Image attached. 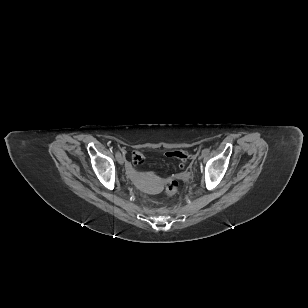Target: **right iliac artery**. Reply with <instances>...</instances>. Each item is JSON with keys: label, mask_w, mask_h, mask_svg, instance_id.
Wrapping results in <instances>:
<instances>
[{"label": "right iliac artery", "mask_w": 308, "mask_h": 308, "mask_svg": "<svg viewBox=\"0 0 308 308\" xmlns=\"http://www.w3.org/2000/svg\"><path fill=\"white\" fill-rule=\"evenodd\" d=\"M120 155V152H116V158Z\"/></svg>", "instance_id": "obj_1"}]
</instances>
